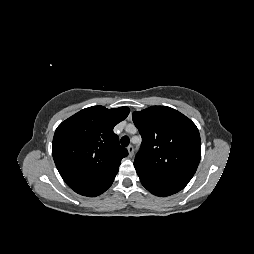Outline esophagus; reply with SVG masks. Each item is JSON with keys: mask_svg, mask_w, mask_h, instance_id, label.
<instances>
[{"mask_svg": "<svg viewBox=\"0 0 254 254\" xmlns=\"http://www.w3.org/2000/svg\"><path fill=\"white\" fill-rule=\"evenodd\" d=\"M128 153H129V157H132L134 155V148L132 145L128 146L127 148Z\"/></svg>", "mask_w": 254, "mask_h": 254, "instance_id": "34e87169", "label": "esophagus"}]
</instances>
